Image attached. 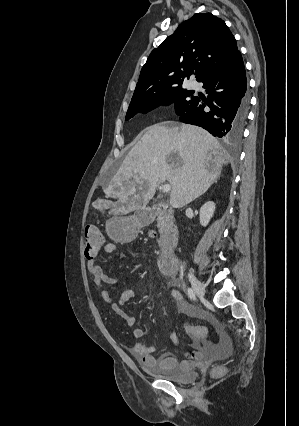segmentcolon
<instances>
[{
    "label": "colon",
    "mask_w": 299,
    "mask_h": 426,
    "mask_svg": "<svg viewBox=\"0 0 299 426\" xmlns=\"http://www.w3.org/2000/svg\"><path fill=\"white\" fill-rule=\"evenodd\" d=\"M104 245V238L100 230L96 226H87L85 230V257L86 259L94 258ZM187 333L197 339H203L207 335V329L203 326L186 325ZM226 372L222 366L216 367L212 371V377L220 378Z\"/></svg>",
    "instance_id": "colon-1"
}]
</instances>
